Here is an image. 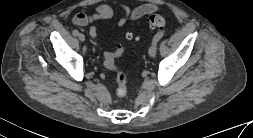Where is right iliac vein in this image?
Here are the masks:
<instances>
[{"mask_svg":"<svg viewBox=\"0 0 253 138\" xmlns=\"http://www.w3.org/2000/svg\"><path fill=\"white\" fill-rule=\"evenodd\" d=\"M78 38H79V40H80L81 42H83V41L85 40V36H84L82 33H80V34L78 35Z\"/></svg>","mask_w":253,"mask_h":138,"instance_id":"1","label":"right iliac vein"}]
</instances>
